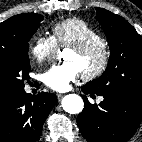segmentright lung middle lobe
<instances>
[{
    "label": "right lung middle lobe",
    "mask_w": 142,
    "mask_h": 142,
    "mask_svg": "<svg viewBox=\"0 0 142 142\" xmlns=\"http://www.w3.org/2000/svg\"><path fill=\"white\" fill-rule=\"evenodd\" d=\"M43 19L39 14H24L13 33L0 32V92L14 95L24 90V81L30 78L28 42Z\"/></svg>",
    "instance_id": "right-lung-middle-lobe-1"
}]
</instances>
